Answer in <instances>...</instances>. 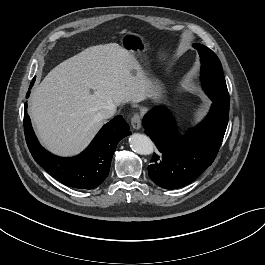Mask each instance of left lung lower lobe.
<instances>
[{
	"label": "left lung lower lobe",
	"mask_w": 265,
	"mask_h": 265,
	"mask_svg": "<svg viewBox=\"0 0 265 265\" xmlns=\"http://www.w3.org/2000/svg\"><path fill=\"white\" fill-rule=\"evenodd\" d=\"M229 119V108L213 101L208 116L185 138L176 131L174 120L164 107L143 118L145 133L160 154L153 155L149 177L160 187L175 189L193 182L214 161Z\"/></svg>",
	"instance_id": "0a47b994"
}]
</instances>
